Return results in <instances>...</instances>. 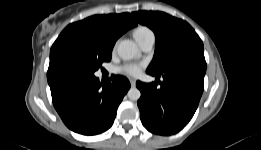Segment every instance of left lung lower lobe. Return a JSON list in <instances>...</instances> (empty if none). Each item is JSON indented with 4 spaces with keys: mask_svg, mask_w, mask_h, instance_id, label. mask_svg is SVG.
<instances>
[{
    "mask_svg": "<svg viewBox=\"0 0 261 150\" xmlns=\"http://www.w3.org/2000/svg\"><path fill=\"white\" fill-rule=\"evenodd\" d=\"M146 72L155 76L156 81L136 82L141 91L138 107L142 124L155 134H175L188 124L198 107L204 89L206 62L187 59L162 74Z\"/></svg>",
    "mask_w": 261,
    "mask_h": 150,
    "instance_id": "obj_1",
    "label": "left lung lower lobe"
}]
</instances>
